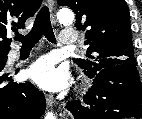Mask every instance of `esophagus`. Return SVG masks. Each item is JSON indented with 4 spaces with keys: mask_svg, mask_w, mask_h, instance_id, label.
<instances>
[{
    "mask_svg": "<svg viewBox=\"0 0 142 119\" xmlns=\"http://www.w3.org/2000/svg\"><path fill=\"white\" fill-rule=\"evenodd\" d=\"M47 5L49 7V9L52 11L54 9V0H47ZM46 98V103L49 107H52L54 104V98L52 95H45Z\"/></svg>",
    "mask_w": 142,
    "mask_h": 119,
    "instance_id": "obj_1",
    "label": "esophagus"
}]
</instances>
